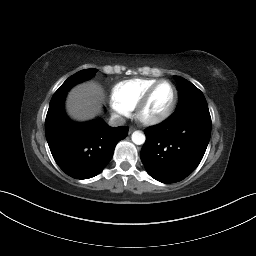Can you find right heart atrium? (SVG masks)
I'll return each instance as SVG.
<instances>
[{
  "label": "right heart atrium",
  "mask_w": 256,
  "mask_h": 256,
  "mask_svg": "<svg viewBox=\"0 0 256 256\" xmlns=\"http://www.w3.org/2000/svg\"><path fill=\"white\" fill-rule=\"evenodd\" d=\"M113 110L116 116L118 117H126L129 115V111L124 108L113 106Z\"/></svg>",
  "instance_id": "obj_1"
}]
</instances>
